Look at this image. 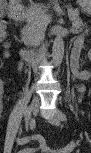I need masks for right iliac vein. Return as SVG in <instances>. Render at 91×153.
Here are the masks:
<instances>
[{
    "instance_id": "63e3f726",
    "label": "right iliac vein",
    "mask_w": 91,
    "mask_h": 153,
    "mask_svg": "<svg viewBox=\"0 0 91 153\" xmlns=\"http://www.w3.org/2000/svg\"><path fill=\"white\" fill-rule=\"evenodd\" d=\"M39 104H40V99L38 97H34L30 106L27 108V114H26L27 118H29L31 114H34L37 111Z\"/></svg>"
}]
</instances>
